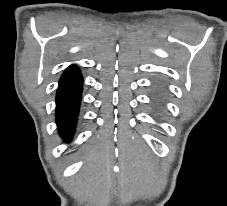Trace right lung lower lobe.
I'll return each instance as SVG.
<instances>
[{
  "instance_id": "1",
  "label": "right lung lower lobe",
  "mask_w": 227,
  "mask_h": 206,
  "mask_svg": "<svg viewBox=\"0 0 227 206\" xmlns=\"http://www.w3.org/2000/svg\"><path fill=\"white\" fill-rule=\"evenodd\" d=\"M82 76L79 69L68 67L59 81L56 94V122L60 135L69 141L75 129L82 91Z\"/></svg>"
}]
</instances>
